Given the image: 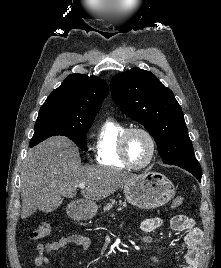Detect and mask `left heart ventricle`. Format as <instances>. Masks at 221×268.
I'll use <instances>...</instances> for the list:
<instances>
[{"mask_svg": "<svg viewBox=\"0 0 221 268\" xmlns=\"http://www.w3.org/2000/svg\"><path fill=\"white\" fill-rule=\"evenodd\" d=\"M151 152L149 139L140 132L132 133L127 140V153L132 163L140 165L145 163Z\"/></svg>", "mask_w": 221, "mask_h": 268, "instance_id": "obj_1", "label": "left heart ventricle"}]
</instances>
